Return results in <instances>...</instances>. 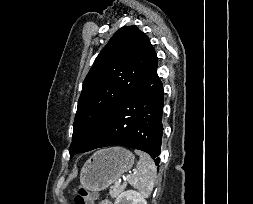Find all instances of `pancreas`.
Instances as JSON below:
<instances>
[{"mask_svg":"<svg viewBox=\"0 0 253 204\" xmlns=\"http://www.w3.org/2000/svg\"><path fill=\"white\" fill-rule=\"evenodd\" d=\"M125 189V185L123 186H112L109 194L111 196L112 199L116 198L121 192H123V190Z\"/></svg>","mask_w":253,"mask_h":204,"instance_id":"cf45deb5","label":"pancreas"}]
</instances>
